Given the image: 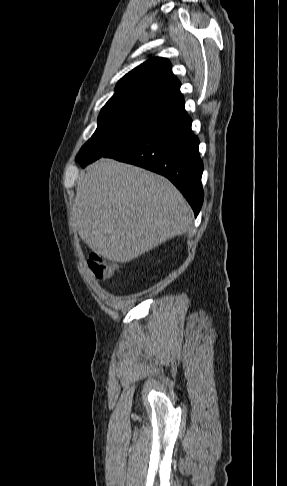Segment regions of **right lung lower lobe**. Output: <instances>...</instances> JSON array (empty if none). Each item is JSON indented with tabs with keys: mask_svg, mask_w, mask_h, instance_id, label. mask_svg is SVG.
Here are the masks:
<instances>
[{
	"mask_svg": "<svg viewBox=\"0 0 287 486\" xmlns=\"http://www.w3.org/2000/svg\"><path fill=\"white\" fill-rule=\"evenodd\" d=\"M191 123L184 108L172 112L136 139L104 157L167 177L182 192L197 216L204 197L201 184L203 163L198 151L199 140L191 130Z\"/></svg>",
	"mask_w": 287,
	"mask_h": 486,
	"instance_id": "1",
	"label": "right lung lower lobe"
}]
</instances>
